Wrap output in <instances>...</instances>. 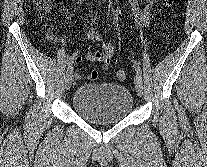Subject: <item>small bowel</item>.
<instances>
[{"label": "small bowel", "mask_w": 207, "mask_h": 167, "mask_svg": "<svg viewBox=\"0 0 207 167\" xmlns=\"http://www.w3.org/2000/svg\"><path fill=\"white\" fill-rule=\"evenodd\" d=\"M158 1L159 0H145L143 10L140 11L137 0H128L137 27H144L148 23L152 14V8ZM87 38L92 42L102 41L100 34L91 27L87 31ZM114 53L115 47L112 44L101 42V48L99 50H88L85 59L92 62H101L105 70L110 65ZM70 58L73 59V62H80L83 59L82 56L77 54H73ZM77 77L81 76L77 75ZM87 78L89 77L87 76Z\"/></svg>", "instance_id": "small-bowel-1"}]
</instances>
